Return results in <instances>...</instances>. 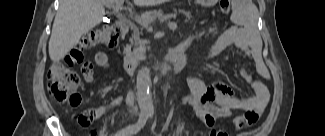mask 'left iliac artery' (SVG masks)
Wrapping results in <instances>:
<instances>
[{
	"instance_id": "1",
	"label": "left iliac artery",
	"mask_w": 325,
	"mask_h": 136,
	"mask_svg": "<svg viewBox=\"0 0 325 136\" xmlns=\"http://www.w3.org/2000/svg\"><path fill=\"white\" fill-rule=\"evenodd\" d=\"M152 116H153V113L150 114V117H152Z\"/></svg>"
}]
</instances>
